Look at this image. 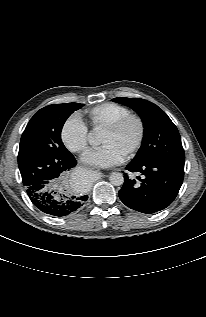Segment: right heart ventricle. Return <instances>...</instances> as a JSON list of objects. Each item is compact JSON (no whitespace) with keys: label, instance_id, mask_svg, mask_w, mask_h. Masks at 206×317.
<instances>
[{"label":"right heart ventricle","instance_id":"1","mask_svg":"<svg viewBox=\"0 0 206 317\" xmlns=\"http://www.w3.org/2000/svg\"><path fill=\"white\" fill-rule=\"evenodd\" d=\"M130 113V109L116 102H105L89 109L87 122L94 129H104L106 125Z\"/></svg>","mask_w":206,"mask_h":317}]
</instances>
